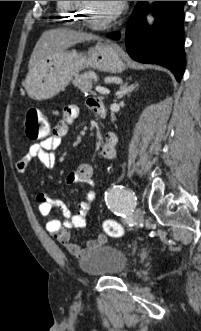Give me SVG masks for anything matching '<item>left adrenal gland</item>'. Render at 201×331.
<instances>
[{"instance_id":"1","label":"left adrenal gland","mask_w":201,"mask_h":331,"mask_svg":"<svg viewBox=\"0 0 201 331\" xmlns=\"http://www.w3.org/2000/svg\"><path fill=\"white\" fill-rule=\"evenodd\" d=\"M138 87V84H132L128 86V83L122 84L119 91L117 92V99L123 98L125 95L130 94L135 88Z\"/></svg>"}]
</instances>
